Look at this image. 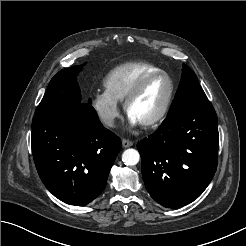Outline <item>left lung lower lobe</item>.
<instances>
[{
  "label": "left lung lower lobe",
  "mask_w": 246,
  "mask_h": 246,
  "mask_svg": "<svg viewBox=\"0 0 246 246\" xmlns=\"http://www.w3.org/2000/svg\"><path fill=\"white\" fill-rule=\"evenodd\" d=\"M218 146L217 116L209 100L167 116L137 145L148 193L168 208L193 202L216 172Z\"/></svg>",
  "instance_id": "obj_1"
}]
</instances>
